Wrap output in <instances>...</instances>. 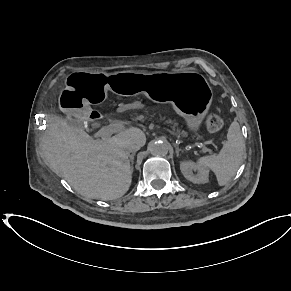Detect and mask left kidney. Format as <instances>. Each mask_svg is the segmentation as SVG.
<instances>
[{
	"instance_id": "1",
	"label": "left kidney",
	"mask_w": 291,
	"mask_h": 291,
	"mask_svg": "<svg viewBox=\"0 0 291 291\" xmlns=\"http://www.w3.org/2000/svg\"><path fill=\"white\" fill-rule=\"evenodd\" d=\"M180 170L182 172V174L184 175V177L196 184H204L208 182V176H209V170L208 168L200 165V164H196L192 161H183L180 164ZM196 174H194V172H196Z\"/></svg>"
}]
</instances>
